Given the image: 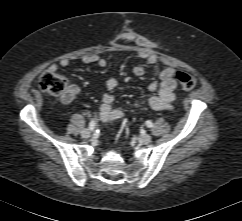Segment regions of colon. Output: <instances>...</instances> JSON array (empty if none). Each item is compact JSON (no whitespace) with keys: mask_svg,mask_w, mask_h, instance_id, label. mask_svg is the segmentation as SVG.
<instances>
[{"mask_svg":"<svg viewBox=\"0 0 242 221\" xmlns=\"http://www.w3.org/2000/svg\"><path fill=\"white\" fill-rule=\"evenodd\" d=\"M173 77L184 90H191L196 86V80L190 74L177 72ZM39 87L42 91L59 97L63 101H67L71 97L66 78L56 71L45 70L42 72L39 77Z\"/></svg>","mask_w":242,"mask_h":221,"instance_id":"obj_1","label":"colon"}]
</instances>
